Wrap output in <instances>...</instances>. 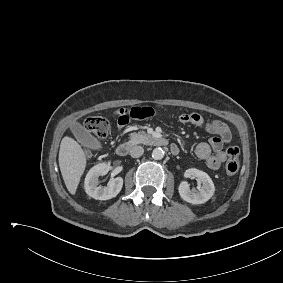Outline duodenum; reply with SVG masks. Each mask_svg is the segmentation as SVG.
Wrapping results in <instances>:
<instances>
[{"label": "duodenum", "instance_id": "410a0bca", "mask_svg": "<svg viewBox=\"0 0 283 283\" xmlns=\"http://www.w3.org/2000/svg\"><path fill=\"white\" fill-rule=\"evenodd\" d=\"M153 143L157 146H167L169 144L168 139L164 137H158L153 139ZM133 144L131 142L121 143L116 147V154L118 156H126L131 150ZM170 150L173 154H178L179 148L175 144L170 145Z\"/></svg>", "mask_w": 283, "mask_h": 283}]
</instances>
